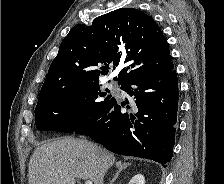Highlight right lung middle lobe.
<instances>
[{
    "instance_id": "obj_1",
    "label": "right lung middle lobe",
    "mask_w": 224,
    "mask_h": 184,
    "mask_svg": "<svg viewBox=\"0 0 224 184\" xmlns=\"http://www.w3.org/2000/svg\"><path fill=\"white\" fill-rule=\"evenodd\" d=\"M98 82L73 85L37 103L35 124L40 131L72 133L96 120L113 102ZM102 97H106L103 99Z\"/></svg>"
}]
</instances>
